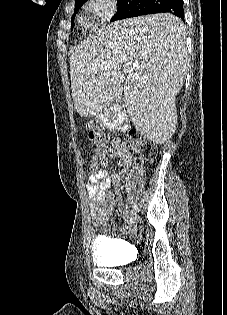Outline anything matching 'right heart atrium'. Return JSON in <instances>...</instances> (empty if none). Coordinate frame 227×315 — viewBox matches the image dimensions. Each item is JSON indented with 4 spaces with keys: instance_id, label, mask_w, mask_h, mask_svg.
Here are the masks:
<instances>
[{
    "instance_id": "1",
    "label": "right heart atrium",
    "mask_w": 227,
    "mask_h": 315,
    "mask_svg": "<svg viewBox=\"0 0 227 315\" xmlns=\"http://www.w3.org/2000/svg\"><path fill=\"white\" fill-rule=\"evenodd\" d=\"M85 5L96 26L107 23L117 10V0H87Z\"/></svg>"
}]
</instances>
